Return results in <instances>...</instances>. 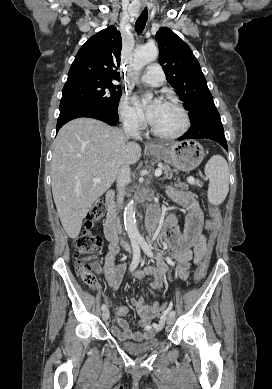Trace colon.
<instances>
[{"instance_id":"1","label":"colon","mask_w":272,"mask_h":389,"mask_svg":"<svg viewBox=\"0 0 272 389\" xmlns=\"http://www.w3.org/2000/svg\"><path fill=\"white\" fill-rule=\"evenodd\" d=\"M106 205L99 200L91 207L84 221V229L75 240V257L77 259V273L84 283L90 286L96 284V277L93 272V264L96 262L97 254L101 251L103 242L100 236L92 232V228L99 219L104 216ZM212 218V232L208 239L205 258L200 264L195 275V281H201L207 274L211 248L214 243L216 231L221 223V213L218 208L210 210ZM170 309V304L164 303L159 308V316L163 317Z\"/></svg>"}]
</instances>
